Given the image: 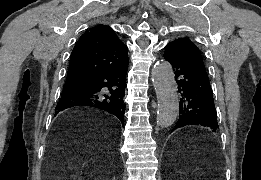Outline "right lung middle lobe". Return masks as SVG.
Returning a JSON list of instances; mask_svg holds the SVG:
<instances>
[{
    "label": "right lung middle lobe",
    "instance_id": "right-lung-middle-lobe-1",
    "mask_svg": "<svg viewBox=\"0 0 261 180\" xmlns=\"http://www.w3.org/2000/svg\"><path fill=\"white\" fill-rule=\"evenodd\" d=\"M87 86V82H65L62 95L79 90Z\"/></svg>",
    "mask_w": 261,
    "mask_h": 180
}]
</instances>
